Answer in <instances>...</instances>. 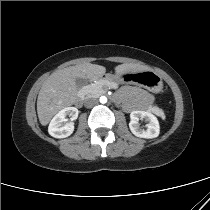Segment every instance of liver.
<instances>
[{
    "mask_svg": "<svg viewBox=\"0 0 210 210\" xmlns=\"http://www.w3.org/2000/svg\"><path fill=\"white\" fill-rule=\"evenodd\" d=\"M148 70V66L136 63H124L115 67L116 75ZM105 72L104 66L91 63H82L53 72L42 84L38 94L37 114L41 125H47L57 112L77 102L79 88L76 78H84L89 82H103Z\"/></svg>",
    "mask_w": 210,
    "mask_h": 210,
    "instance_id": "obj_1",
    "label": "liver"
}]
</instances>
